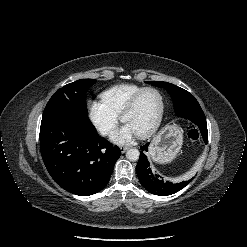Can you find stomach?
Returning <instances> with one entry per match:
<instances>
[{
	"label": "stomach",
	"mask_w": 247,
	"mask_h": 247,
	"mask_svg": "<svg viewBox=\"0 0 247 247\" xmlns=\"http://www.w3.org/2000/svg\"><path fill=\"white\" fill-rule=\"evenodd\" d=\"M182 143V130L178 126L168 125L152 139L148 154L155 162L168 163L177 156Z\"/></svg>",
	"instance_id": "stomach-1"
}]
</instances>
